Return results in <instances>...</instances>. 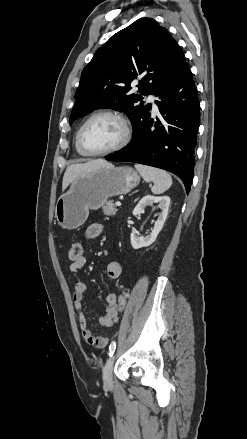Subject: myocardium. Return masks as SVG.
I'll return each mask as SVG.
<instances>
[{"label": "myocardium", "mask_w": 247, "mask_h": 439, "mask_svg": "<svg viewBox=\"0 0 247 439\" xmlns=\"http://www.w3.org/2000/svg\"><path fill=\"white\" fill-rule=\"evenodd\" d=\"M101 116H109V117H113V118L117 119L120 122V124L122 125L123 136H122V139L120 140V142L117 145H115L114 147L107 149V150H104V151H100V152H92V151L87 150L84 143H83V133H84V130L87 127V125L92 120H94L97 117H101ZM132 134H133V131H132L130 121L123 113H121L119 111H115V110H101V111H98V112L92 114L82 124V126L80 127V129L77 133V142H78V146H79L81 152L86 156H93V157L106 156V155L115 153L117 151H120L121 149L126 147L132 139Z\"/></svg>", "instance_id": "f54148a6"}]
</instances>
